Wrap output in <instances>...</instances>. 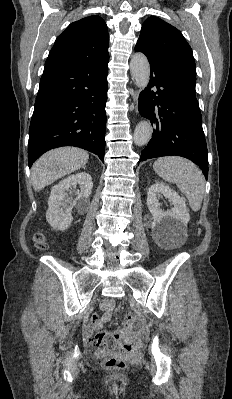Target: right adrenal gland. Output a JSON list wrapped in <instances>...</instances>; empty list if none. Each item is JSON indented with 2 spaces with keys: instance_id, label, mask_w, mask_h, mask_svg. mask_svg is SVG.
<instances>
[{
  "instance_id": "1",
  "label": "right adrenal gland",
  "mask_w": 232,
  "mask_h": 399,
  "mask_svg": "<svg viewBox=\"0 0 232 399\" xmlns=\"http://www.w3.org/2000/svg\"><path fill=\"white\" fill-rule=\"evenodd\" d=\"M83 170H86V166H84Z\"/></svg>"
}]
</instances>
